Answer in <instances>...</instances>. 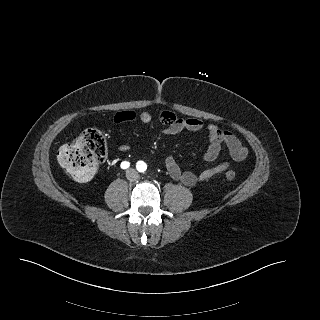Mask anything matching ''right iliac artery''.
<instances>
[{"instance_id": "82829eb1", "label": "right iliac artery", "mask_w": 320, "mask_h": 320, "mask_svg": "<svg viewBox=\"0 0 320 320\" xmlns=\"http://www.w3.org/2000/svg\"><path fill=\"white\" fill-rule=\"evenodd\" d=\"M129 166H130V163L128 161H123L121 163V168L122 169H127V168H129Z\"/></svg>"}]
</instances>
